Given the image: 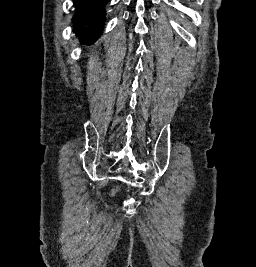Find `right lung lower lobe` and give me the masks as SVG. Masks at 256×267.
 Masks as SVG:
<instances>
[{
  "label": "right lung lower lobe",
  "instance_id": "1",
  "mask_svg": "<svg viewBox=\"0 0 256 267\" xmlns=\"http://www.w3.org/2000/svg\"><path fill=\"white\" fill-rule=\"evenodd\" d=\"M76 12L73 17L74 32L83 44H92L104 26L105 6L110 0H73Z\"/></svg>",
  "mask_w": 256,
  "mask_h": 267
}]
</instances>
